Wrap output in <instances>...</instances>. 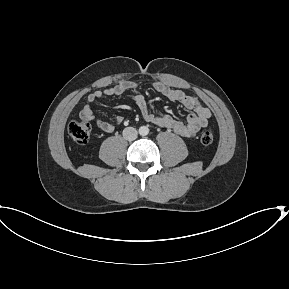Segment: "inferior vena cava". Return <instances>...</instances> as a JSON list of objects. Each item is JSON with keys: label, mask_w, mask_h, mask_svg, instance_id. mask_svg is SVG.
Segmentation results:
<instances>
[{"label": "inferior vena cava", "mask_w": 289, "mask_h": 289, "mask_svg": "<svg viewBox=\"0 0 289 289\" xmlns=\"http://www.w3.org/2000/svg\"><path fill=\"white\" fill-rule=\"evenodd\" d=\"M138 132L133 127H127L123 130V137L128 141H133L137 138Z\"/></svg>", "instance_id": "inferior-vena-cava-1"}]
</instances>
